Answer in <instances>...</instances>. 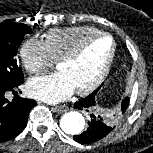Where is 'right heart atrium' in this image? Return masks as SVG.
<instances>
[{
  "instance_id": "d8ad5b80",
  "label": "right heart atrium",
  "mask_w": 153,
  "mask_h": 153,
  "mask_svg": "<svg viewBox=\"0 0 153 153\" xmlns=\"http://www.w3.org/2000/svg\"><path fill=\"white\" fill-rule=\"evenodd\" d=\"M20 58L24 68L33 74L45 71L53 62L44 41L36 38H29L22 44Z\"/></svg>"
}]
</instances>
